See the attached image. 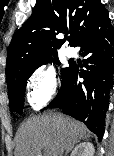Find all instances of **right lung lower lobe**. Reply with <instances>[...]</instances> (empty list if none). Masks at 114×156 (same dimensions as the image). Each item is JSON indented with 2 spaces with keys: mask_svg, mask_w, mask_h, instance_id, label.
<instances>
[{
  "mask_svg": "<svg viewBox=\"0 0 114 156\" xmlns=\"http://www.w3.org/2000/svg\"><path fill=\"white\" fill-rule=\"evenodd\" d=\"M74 47L80 46L85 70L73 63L61 91L49 107L82 121L101 140L114 74V29L104 8L78 35ZM79 78L84 81L80 82Z\"/></svg>",
  "mask_w": 114,
  "mask_h": 156,
  "instance_id": "obj_1",
  "label": "right lung lower lobe"
}]
</instances>
